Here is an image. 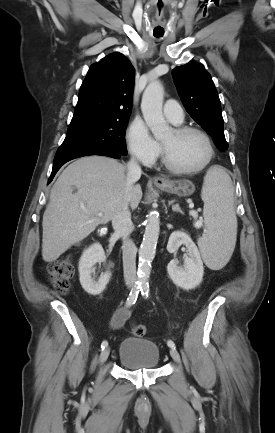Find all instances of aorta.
Here are the masks:
<instances>
[{
	"label": "aorta",
	"instance_id": "1",
	"mask_svg": "<svg viewBox=\"0 0 275 433\" xmlns=\"http://www.w3.org/2000/svg\"><path fill=\"white\" fill-rule=\"evenodd\" d=\"M164 89L160 81L152 80L146 87L141 102V111L147 126L155 138H161L169 129L162 113ZM160 232L159 214L149 212L146 218L145 232L139 248L138 285L146 288L151 271V262L155 257L156 245Z\"/></svg>",
	"mask_w": 275,
	"mask_h": 433
}]
</instances>
